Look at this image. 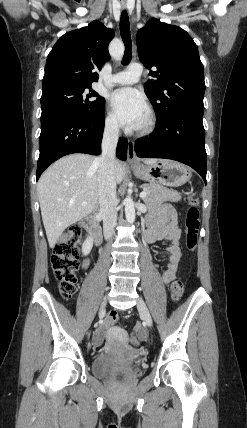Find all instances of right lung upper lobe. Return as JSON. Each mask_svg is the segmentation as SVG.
Segmentation results:
<instances>
[{"label":"right lung upper lobe","instance_id":"1","mask_svg":"<svg viewBox=\"0 0 247 428\" xmlns=\"http://www.w3.org/2000/svg\"><path fill=\"white\" fill-rule=\"evenodd\" d=\"M114 31L93 21L87 27L63 35L47 57L42 92L62 86H91L110 59L108 45Z\"/></svg>","mask_w":247,"mask_h":428}]
</instances>
